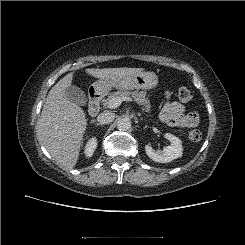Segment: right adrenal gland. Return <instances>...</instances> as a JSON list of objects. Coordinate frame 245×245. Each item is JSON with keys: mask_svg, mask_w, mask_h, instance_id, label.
I'll return each instance as SVG.
<instances>
[{"mask_svg": "<svg viewBox=\"0 0 245 245\" xmlns=\"http://www.w3.org/2000/svg\"><path fill=\"white\" fill-rule=\"evenodd\" d=\"M91 123H95L96 126H102L100 123H97L95 120H92Z\"/></svg>", "mask_w": 245, "mask_h": 245, "instance_id": "2a0ac1e0", "label": "right adrenal gland"}]
</instances>
